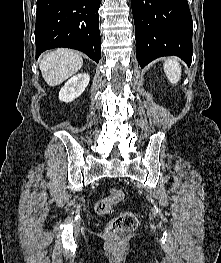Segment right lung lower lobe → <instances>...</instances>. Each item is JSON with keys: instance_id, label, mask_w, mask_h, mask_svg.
Masks as SVG:
<instances>
[{"instance_id": "right-lung-lower-lobe-1", "label": "right lung lower lobe", "mask_w": 221, "mask_h": 263, "mask_svg": "<svg viewBox=\"0 0 221 263\" xmlns=\"http://www.w3.org/2000/svg\"><path fill=\"white\" fill-rule=\"evenodd\" d=\"M100 0H37L36 59L56 47L76 49L95 62L101 57Z\"/></svg>"}]
</instances>
